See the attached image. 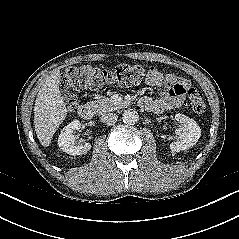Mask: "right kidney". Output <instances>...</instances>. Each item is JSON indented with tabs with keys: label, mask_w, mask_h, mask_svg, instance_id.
<instances>
[{
	"label": "right kidney",
	"mask_w": 239,
	"mask_h": 239,
	"mask_svg": "<svg viewBox=\"0 0 239 239\" xmlns=\"http://www.w3.org/2000/svg\"><path fill=\"white\" fill-rule=\"evenodd\" d=\"M81 127L79 120H73L63 128L58 137V145L60 149L69 155H82L91 149V144L85 143L84 145H75V136L73 131Z\"/></svg>",
	"instance_id": "1"
}]
</instances>
